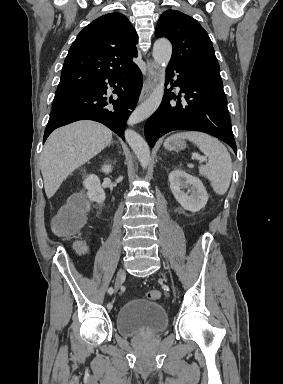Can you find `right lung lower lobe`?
I'll return each instance as SVG.
<instances>
[{
  "instance_id": "1",
  "label": "right lung lower lobe",
  "mask_w": 283,
  "mask_h": 384,
  "mask_svg": "<svg viewBox=\"0 0 283 384\" xmlns=\"http://www.w3.org/2000/svg\"><path fill=\"white\" fill-rule=\"evenodd\" d=\"M100 81L91 85L77 100L53 109L44 133V140L58 127L74 121L89 119L100 122L124 139L125 123L137 104L143 80L140 69L136 66L119 77ZM117 100L108 101L105 97L107 85L114 87ZM112 104L111 107L109 104Z\"/></svg>"
}]
</instances>
